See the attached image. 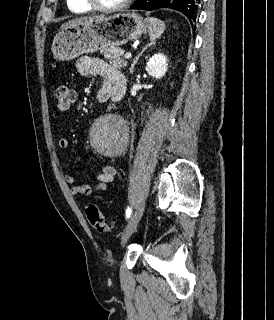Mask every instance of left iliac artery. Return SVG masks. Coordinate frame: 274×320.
I'll return each instance as SVG.
<instances>
[{
  "label": "left iliac artery",
  "instance_id": "obj_1",
  "mask_svg": "<svg viewBox=\"0 0 274 320\" xmlns=\"http://www.w3.org/2000/svg\"><path fill=\"white\" fill-rule=\"evenodd\" d=\"M132 209L130 207L127 208L126 210V218L128 219L131 216Z\"/></svg>",
  "mask_w": 274,
  "mask_h": 320
}]
</instances>
